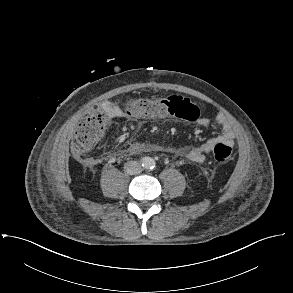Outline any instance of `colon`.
I'll return each instance as SVG.
<instances>
[{
    "instance_id": "obj_1",
    "label": "colon",
    "mask_w": 293,
    "mask_h": 293,
    "mask_svg": "<svg viewBox=\"0 0 293 293\" xmlns=\"http://www.w3.org/2000/svg\"><path fill=\"white\" fill-rule=\"evenodd\" d=\"M125 113L132 118L157 119L166 116L194 121L200 110L184 96L172 95L166 98L150 100L136 99L131 101ZM109 124V115L105 111H96L88 115L78 126L72 144L73 153L82 157L101 138ZM232 147L225 142H217L213 148L216 161L227 163L232 158Z\"/></svg>"
}]
</instances>
